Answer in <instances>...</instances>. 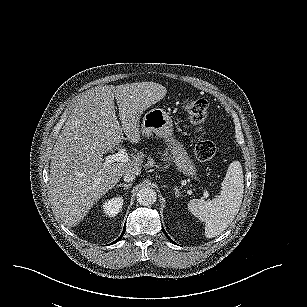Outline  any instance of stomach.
Returning a JSON list of instances; mask_svg holds the SVG:
<instances>
[{
	"label": "stomach",
	"mask_w": 307,
	"mask_h": 307,
	"mask_svg": "<svg viewBox=\"0 0 307 307\" xmlns=\"http://www.w3.org/2000/svg\"><path fill=\"white\" fill-rule=\"evenodd\" d=\"M141 133L150 138L156 135L163 138L168 145L171 159L177 169L186 176L195 177L197 169L182 142L173 135V120L164 109L153 108L144 114L141 123Z\"/></svg>",
	"instance_id": "stomach-1"
}]
</instances>
